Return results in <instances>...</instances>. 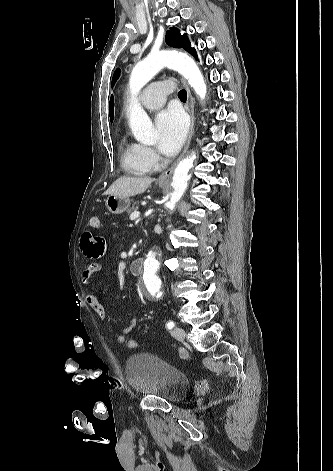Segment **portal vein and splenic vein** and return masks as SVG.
<instances>
[{"instance_id": "18ae733b", "label": "portal vein and splenic vein", "mask_w": 333, "mask_h": 471, "mask_svg": "<svg viewBox=\"0 0 333 471\" xmlns=\"http://www.w3.org/2000/svg\"><path fill=\"white\" fill-rule=\"evenodd\" d=\"M140 216V212L139 211H135L133 212L131 215H130V220H135L136 218H138Z\"/></svg>"}]
</instances>
